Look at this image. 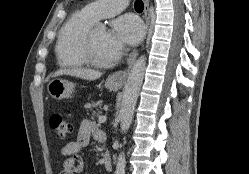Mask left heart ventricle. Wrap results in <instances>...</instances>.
<instances>
[{
  "instance_id": "1",
  "label": "left heart ventricle",
  "mask_w": 249,
  "mask_h": 174,
  "mask_svg": "<svg viewBox=\"0 0 249 174\" xmlns=\"http://www.w3.org/2000/svg\"><path fill=\"white\" fill-rule=\"evenodd\" d=\"M94 55L103 62H111L112 55L109 44V32L105 29H95L92 33Z\"/></svg>"
}]
</instances>
